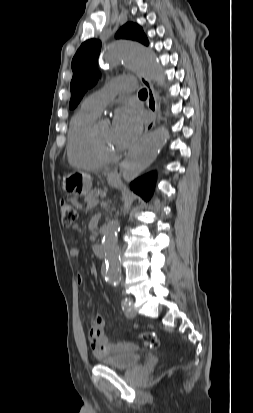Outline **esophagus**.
<instances>
[{"mask_svg":"<svg viewBox=\"0 0 253 413\" xmlns=\"http://www.w3.org/2000/svg\"><path fill=\"white\" fill-rule=\"evenodd\" d=\"M139 80L144 85V87L147 89V93H148L147 107L150 113V119L144 129V134H145L151 131L153 127L155 126L157 112H158V102H157L155 90H154V87L151 81L142 75H139ZM126 161L127 159L123 161L119 166L115 167L114 170H112L109 173V177L113 179H119L123 171V165Z\"/></svg>","mask_w":253,"mask_h":413,"instance_id":"esophagus-1","label":"esophagus"}]
</instances>
